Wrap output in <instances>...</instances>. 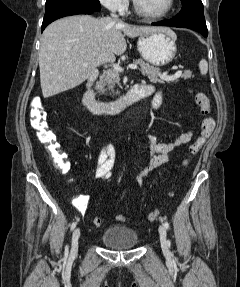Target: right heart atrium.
Wrapping results in <instances>:
<instances>
[{"label": "right heart atrium", "mask_w": 240, "mask_h": 287, "mask_svg": "<svg viewBox=\"0 0 240 287\" xmlns=\"http://www.w3.org/2000/svg\"><path fill=\"white\" fill-rule=\"evenodd\" d=\"M107 9L114 12H123L127 7V0H99Z\"/></svg>", "instance_id": "d8ad5b80"}]
</instances>
